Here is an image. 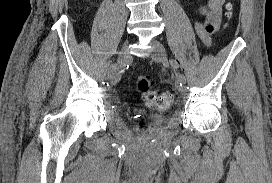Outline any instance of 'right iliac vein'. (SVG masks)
Returning <instances> with one entry per match:
<instances>
[{
	"label": "right iliac vein",
	"mask_w": 272,
	"mask_h": 183,
	"mask_svg": "<svg viewBox=\"0 0 272 183\" xmlns=\"http://www.w3.org/2000/svg\"><path fill=\"white\" fill-rule=\"evenodd\" d=\"M129 61V49H128V42H125L122 46L119 55L117 64L114 69H110L108 71V78L112 81H116L122 71V69L126 66Z\"/></svg>",
	"instance_id": "right-iliac-vein-1"
}]
</instances>
